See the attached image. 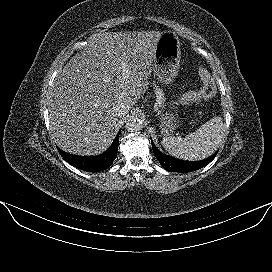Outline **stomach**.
Returning <instances> with one entry per match:
<instances>
[{"instance_id":"stomach-1","label":"stomach","mask_w":272,"mask_h":272,"mask_svg":"<svg viewBox=\"0 0 272 272\" xmlns=\"http://www.w3.org/2000/svg\"><path fill=\"white\" fill-rule=\"evenodd\" d=\"M181 59L180 41L175 32L164 31L157 43L154 54V71L159 82L170 84L178 75ZM175 102H171V109H175ZM160 129L164 136L170 135L180 127V121L175 113L160 111Z\"/></svg>"}]
</instances>
